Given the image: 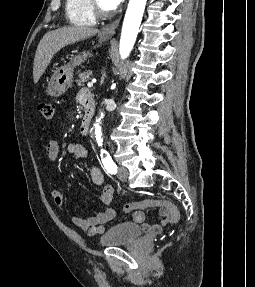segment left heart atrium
Here are the masks:
<instances>
[{
    "instance_id": "obj_1",
    "label": "left heart atrium",
    "mask_w": 255,
    "mask_h": 287,
    "mask_svg": "<svg viewBox=\"0 0 255 287\" xmlns=\"http://www.w3.org/2000/svg\"><path fill=\"white\" fill-rule=\"evenodd\" d=\"M109 5H114L118 0H106Z\"/></svg>"
}]
</instances>
